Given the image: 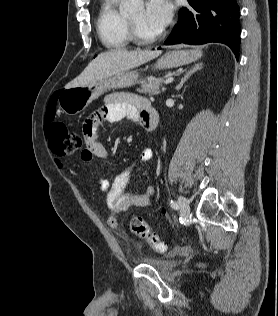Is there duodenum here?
<instances>
[{"mask_svg": "<svg viewBox=\"0 0 278 316\" xmlns=\"http://www.w3.org/2000/svg\"><path fill=\"white\" fill-rule=\"evenodd\" d=\"M159 124V114L152 106L148 107L142 116V125L147 131H153Z\"/></svg>", "mask_w": 278, "mask_h": 316, "instance_id": "obj_1", "label": "duodenum"}]
</instances>
